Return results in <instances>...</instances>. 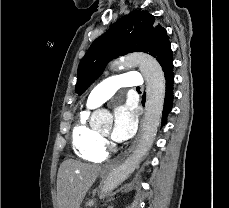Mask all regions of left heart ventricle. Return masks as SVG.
Segmentation results:
<instances>
[{
	"label": "left heart ventricle",
	"instance_id": "left-heart-ventricle-1",
	"mask_svg": "<svg viewBox=\"0 0 229 208\" xmlns=\"http://www.w3.org/2000/svg\"><path fill=\"white\" fill-rule=\"evenodd\" d=\"M109 132H110V128H108L107 130H105V131L103 132V134L108 135Z\"/></svg>",
	"mask_w": 229,
	"mask_h": 208
}]
</instances>
